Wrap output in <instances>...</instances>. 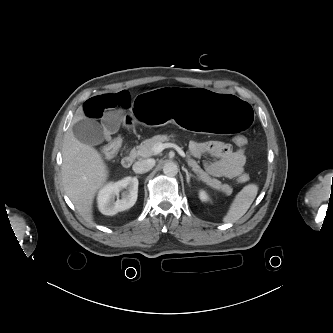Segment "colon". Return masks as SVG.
Wrapping results in <instances>:
<instances>
[{
    "label": "colon",
    "mask_w": 333,
    "mask_h": 333,
    "mask_svg": "<svg viewBox=\"0 0 333 333\" xmlns=\"http://www.w3.org/2000/svg\"><path fill=\"white\" fill-rule=\"evenodd\" d=\"M234 142L236 145L242 147L246 145L247 138L243 135H237L234 137ZM121 146V140L119 138H111L107 144L101 148V154L105 158H112L116 155ZM250 177L248 174L244 173L238 178L239 182L246 183L249 181Z\"/></svg>",
    "instance_id": "obj_1"
}]
</instances>
